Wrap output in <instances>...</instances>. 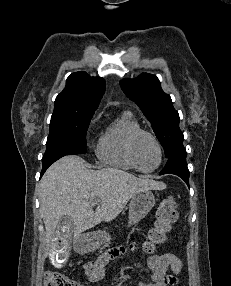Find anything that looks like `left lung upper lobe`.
Instances as JSON below:
<instances>
[{
    "mask_svg": "<svg viewBox=\"0 0 231 286\" xmlns=\"http://www.w3.org/2000/svg\"><path fill=\"white\" fill-rule=\"evenodd\" d=\"M124 93L134 101L150 121L161 142L166 158L183 147V133L179 128V114L172 100L165 94L155 75L143 73L135 79L120 82Z\"/></svg>",
    "mask_w": 231,
    "mask_h": 286,
    "instance_id": "left-lung-upper-lobe-1",
    "label": "left lung upper lobe"
}]
</instances>
